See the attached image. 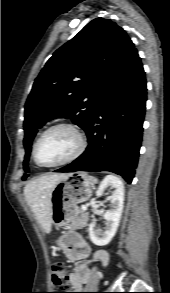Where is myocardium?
Listing matches in <instances>:
<instances>
[{
  "label": "myocardium",
  "mask_w": 170,
  "mask_h": 293,
  "mask_svg": "<svg viewBox=\"0 0 170 293\" xmlns=\"http://www.w3.org/2000/svg\"><path fill=\"white\" fill-rule=\"evenodd\" d=\"M56 128H67V129L71 130L78 138V147H77L76 151L71 156H69L68 158H66L60 162L53 163V164H43L38 160V157H37L38 145H39L40 141L42 140V138L48 132H50L51 130L56 129ZM85 149H86V140H85L82 132L78 128H76L74 125L69 124V123H56V124H53V125L49 126L48 128H46L38 136V138L36 139V141L34 142V145H33L32 156L38 166L44 167V168H55V167H60V166H63V165H66L68 163L75 161L84 153Z\"/></svg>",
  "instance_id": "obj_1"
}]
</instances>
